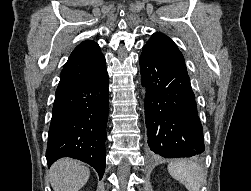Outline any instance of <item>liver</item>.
<instances>
[{"label": "liver", "mask_w": 251, "mask_h": 191, "mask_svg": "<svg viewBox=\"0 0 251 191\" xmlns=\"http://www.w3.org/2000/svg\"><path fill=\"white\" fill-rule=\"evenodd\" d=\"M49 175L54 191H79L87 183L90 171L81 161L62 157L51 165Z\"/></svg>", "instance_id": "1"}]
</instances>
